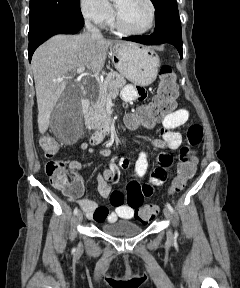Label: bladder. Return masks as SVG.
<instances>
[{
    "mask_svg": "<svg viewBox=\"0 0 240 288\" xmlns=\"http://www.w3.org/2000/svg\"><path fill=\"white\" fill-rule=\"evenodd\" d=\"M142 230L140 225L129 220L114 221L102 226V231L111 236H135Z\"/></svg>",
    "mask_w": 240,
    "mask_h": 288,
    "instance_id": "31cf9c89",
    "label": "bladder"
}]
</instances>
